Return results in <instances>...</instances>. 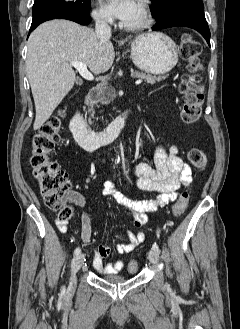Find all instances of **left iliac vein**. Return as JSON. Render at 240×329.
<instances>
[{
	"label": "left iliac vein",
	"instance_id": "left-iliac-vein-1",
	"mask_svg": "<svg viewBox=\"0 0 240 329\" xmlns=\"http://www.w3.org/2000/svg\"><path fill=\"white\" fill-rule=\"evenodd\" d=\"M148 259L151 263L153 264H158L159 262V252L158 251H155V250H150L149 253H148Z\"/></svg>",
	"mask_w": 240,
	"mask_h": 329
}]
</instances>
